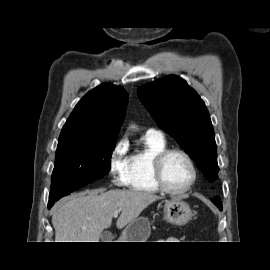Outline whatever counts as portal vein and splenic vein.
<instances>
[{
  "label": "portal vein and splenic vein",
  "instance_id": "portal-vein-and-splenic-vein-1",
  "mask_svg": "<svg viewBox=\"0 0 270 270\" xmlns=\"http://www.w3.org/2000/svg\"><path fill=\"white\" fill-rule=\"evenodd\" d=\"M119 212H120L119 210L114 211V213H113V217H115V218H116V217H118Z\"/></svg>",
  "mask_w": 270,
  "mask_h": 270
}]
</instances>
